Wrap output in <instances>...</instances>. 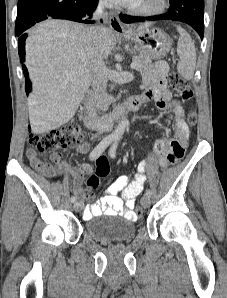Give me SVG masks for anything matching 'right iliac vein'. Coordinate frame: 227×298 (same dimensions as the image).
<instances>
[{
  "instance_id": "obj_1",
  "label": "right iliac vein",
  "mask_w": 227,
  "mask_h": 298,
  "mask_svg": "<svg viewBox=\"0 0 227 298\" xmlns=\"http://www.w3.org/2000/svg\"><path fill=\"white\" fill-rule=\"evenodd\" d=\"M73 209L76 212H80L83 209V204L81 202H75L73 205Z\"/></svg>"
}]
</instances>
